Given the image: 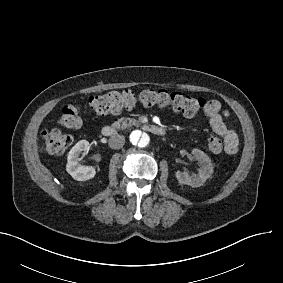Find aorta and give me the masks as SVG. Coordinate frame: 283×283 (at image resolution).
<instances>
[{
    "label": "aorta",
    "instance_id": "762f6f07",
    "mask_svg": "<svg viewBox=\"0 0 283 283\" xmlns=\"http://www.w3.org/2000/svg\"><path fill=\"white\" fill-rule=\"evenodd\" d=\"M129 139L132 145L139 148H145L150 143V136L141 130L132 131Z\"/></svg>",
    "mask_w": 283,
    "mask_h": 283
}]
</instances>
